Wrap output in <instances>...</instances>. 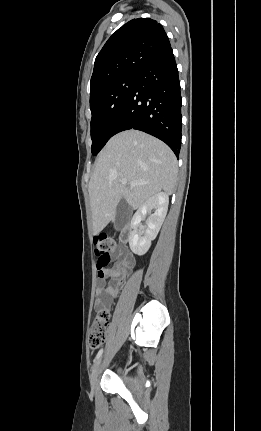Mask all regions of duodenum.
<instances>
[{
	"label": "duodenum",
	"instance_id": "410a0bca",
	"mask_svg": "<svg viewBox=\"0 0 261 431\" xmlns=\"http://www.w3.org/2000/svg\"><path fill=\"white\" fill-rule=\"evenodd\" d=\"M129 237H130V230H129V227H126L121 234V240L123 242H127L129 240Z\"/></svg>",
	"mask_w": 261,
	"mask_h": 431
}]
</instances>
